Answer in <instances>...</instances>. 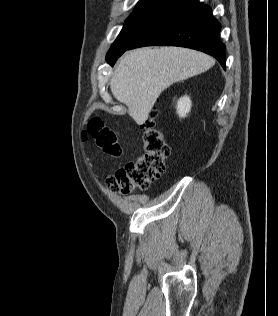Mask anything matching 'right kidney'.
<instances>
[{"instance_id": "right-kidney-1", "label": "right kidney", "mask_w": 278, "mask_h": 316, "mask_svg": "<svg viewBox=\"0 0 278 316\" xmlns=\"http://www.w3.org/2000/svg\"><path fill=\"white\" fill-rule=\"evenodd\" d=\"M191 105L192 103L188 96H183L178 100L176 109L180 118L186 117L191 109Z\"/></svg>"}]
</instances>
